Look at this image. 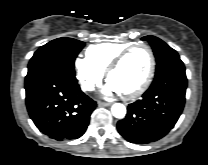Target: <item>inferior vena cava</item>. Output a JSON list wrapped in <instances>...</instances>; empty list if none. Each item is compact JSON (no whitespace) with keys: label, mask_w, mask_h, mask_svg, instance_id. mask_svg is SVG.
Instances as JSON below:
<instances>
[{"label":"inferior vena cava","mask_w":208,"mask_h":165,"mask_svg":"<svg viewBox=\"0 0 208 165\" xmlns=\"http://www.w3.org/2000/svg\"><path fill=\"white\" fill-rule=\"evenodd\" d=\"M82 89H83V90L92 91V90H94V85H93V84H84V85L82 86Z\"/></svg>","instance_id":"602c4592"}]
</instances>
